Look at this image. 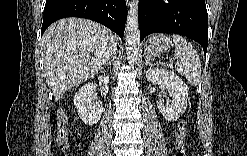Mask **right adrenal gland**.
<instances>
[{
    "label": "right adrenal gland",
    "instance_id": "obj_1",
    "mask_svg": "<svg viewBox=\"0 0 247 156\" xmlns=\"http://www.w3.org/2000/svg\"><path fill=\"white\" fill-rule=\"evenodd\" d=\"M111 64H112V62H111V61H110V62H105V63L103 64V66L110 67V66H111Z\"/></svg>",
    "mask_w": 247,
    "mask_h": 156
}]
</instances>
